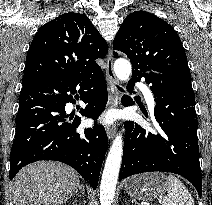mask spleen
Listing matches in <instances>:
<instances>
[{
  "instance_id": "1",
  "label": "spleen",
  "mask_w": 212,
  "mask_h": 205,
  "mask_svg": "<svg viewBox=\"0 0 212 205\" xmlns=\"http://www.w3.org/2000/svg\"><path fill=\"white\" fill-rule=\"evenodd\" d=\"M166 179L168 195L163 198V205H194V200L182 181L174 175H169Z\"/></svg>"
}]
</instances>
